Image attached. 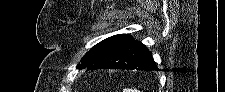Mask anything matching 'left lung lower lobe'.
Here are the masks:
<instances>
[{
    "label": "left lung lower lobe",
    "instance_id": "left-lung-lower-lobe-1",
    "mask_svg": "<svg viewBox=\"0 0 225 92\" xmlns=\"http://www.w3.org/2000/svg\"><path fill=\"white\" fill-rule=\"evenodd\" d=\"M96 69H130L158 71V67L153 60L152 53L146 49L142 42L133 40L128 45L123 46L102 63Z\"/></svg>",
    "mask_w": 225,
    "mask_h": 92
}]
</instances>
